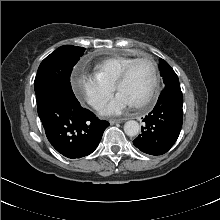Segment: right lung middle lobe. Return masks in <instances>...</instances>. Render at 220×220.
<instances>
[{
	"label": "right lung middle lobe",
	"instance_id": "obj_1",
	"mask_svg": "<svg viewBox=\"0 0 220 220\" xmlns=\"http://www.w3.org/2000/svg\"><path fill=\"white\" fill-rule=\"evenodd\" d=\"M84 50L83 47L64 45L41 62L34 81L37 105L59 91L75 97L70 84V75Z\"/></svg>",
	"mask_w": 220,
	"mask_h": 220
}]
</instances>
